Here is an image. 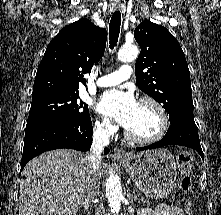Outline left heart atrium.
<instances>
[{
  "instance_id": "39dd6f15",
  "label": "left heart atrium",
  "mask_w": 221,
  "mask_h": 215,
  "mask_svg": "<svg viewBox=\"0 0 221 215\" xmlns=\"http://www.w3.org/2000/svg\"><path fill=\"white\" fill-rule=\"evenodd\" d=\"M137 105L138 103L130 93L111 90L102 96L98 110L123 127H127L132 121Z\"/></svg>"
}]
</instances>
